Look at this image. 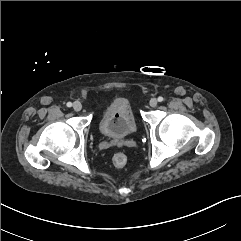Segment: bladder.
<instances>
[{"label":"bladder","instance_id":"31cf9c89","mask_svg":"<svg viewBox=\"0 0 241 241\" xmlns=\"http://www.w3.org/2000/svg\"><path fill=\"white\" fill-rule=\"evenodd\" d=\"M99 131L111 139H126L133 136L137 125L129 101L123 97L114 98L99 121Z\"/></svg>","mask_w":241,"mask_h":241}]
</instances>
